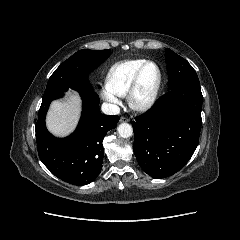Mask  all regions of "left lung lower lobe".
<instances>
[{
	"mask_svg": "<svg viewBox=\"0 0 240 240\" xmlns=\"http://www.w3.org/2000/svg\"><path fill=\"white\" fill-rule=\"evenodd\" d=\"M202 100L200 87L180 86L135 119L133 150L145 173L165 178L190 160L199 142Z\"/></svg>",
	"mask_w": 240,
	"mask_h": 240,
	"instance_id": "left-lung-lower-lobe-1",
	"label": "left lung lower lobe"
}]
</instances>
